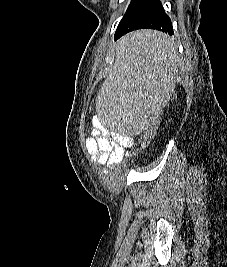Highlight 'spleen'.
I'll return each mask as SVG.
<instances>
[{"mask_svg": "<svg viewBox=\"0 0 227 267\" xmlns=\"http://www.w3.org/2000/svg\"><path fill=\"white\" fill-rule=\"evenodd\" d=\"M112 55L118 63H108L102 81L111 82H100L102 93H97V98L102 100H96V105L118 106H98L99 115H159L176 84L178 53L174 40L156 31L135 29ZM100 121L105 129H117L121 137H139L152 116H100Z\"/></svg>", "mask_w": 227, "mask_h": 267, "instance_id": "spleen-1", "label": "spleen"}]
</instances>
